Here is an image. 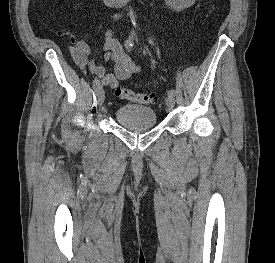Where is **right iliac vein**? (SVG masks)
<instances>
[{
    "label": "right iliac vein",
    "mask_w": 275,
    "mask_h": 263,
    "mask_svg": "<svg viewBox=\"0 0 275 263\" xmlns=\"http://www.w3.org/2000/svg\"><path fill=\"white\" fill-rule=\"evenodd\" d=\"M104 99H105V93L101 88L97 91V101L101 105L104 102Z\"/></svg>",
    "instance_id": "1"
}]
</instances>
